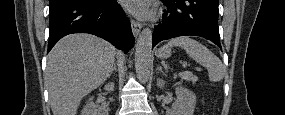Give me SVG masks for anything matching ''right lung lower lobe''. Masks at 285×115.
Segmentation results:
<instances>
[{"label": "right lung lower lobe", "mask_w": 285, "mask_h": 115, "mask_svg": "<svg viewBox=\"0 0 285 115\" xmlns=\"http://www.w3.org/2000/svg\"><path fill=\"white\" fill-rule=\"evenodd\" d=\"M49 13L48 52L71 33L96 35L124 52L134 45L131 25L116 0H58Z\"/></svg>", "instance_id": "1"}]
</instances>
